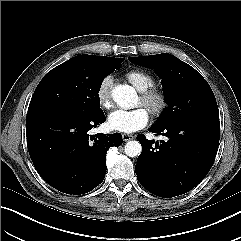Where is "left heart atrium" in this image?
<instances>
[{"mask_svg": "<svg viewBox=\"0 0 241 241\" xmlns=\"http://www.w3.org/2000/svg\"><path fill=\"white\" fill-rule=\"evenodd\" d=\"M149 122L148 111L143 107L133 110L118 109L108 116L110 129L122 133H133L144 128Z\"/></svg>", "mask_w": 241, "mask_h": 241, "instance_id": "obj_1", "label": "left heart atrium"}]
</instances>
